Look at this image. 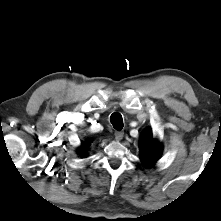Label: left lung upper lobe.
<instances>
[{"label":"left lung upper lobe","mask_w":221,"mask_h":221,"mask_svg":"<svg viewBox=\"0 0 221 221\" xmlns=\"http://www.w3.org/2000/svg\"><path fill=\"white\" fill-rule=\"evenodd\" d=\"M141 160L147 167L153 165L161 154V146L156 139L153 138L152 130L146 129L142 134L141 141Z\"/></svg>","instance_id":"left-lung-upper-lobe-1"}]
</instances>
